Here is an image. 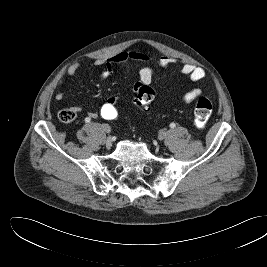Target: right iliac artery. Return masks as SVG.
Returning a JSON list of instances; mask_svg holds the SVG:
<instances>
[{
	"mask_svg": "<svg viewBox=\"0 0 267 267\" xmlns=\"http://www.w3.org/2000/svg\"><path fill=\"white\" fill-rule=\"evenodd\" d=\"M90 120H91V119H90V118H88V117H87V118H85V121H86V122H90ZM110 131H111V129H110V127H109V132H110Z\"/></svg>",
	"mask_w": 267,
	"mask_h": 267,
	"instance_id": "obj_1",
	"label": "right iliac artery"
}]
</instances>
